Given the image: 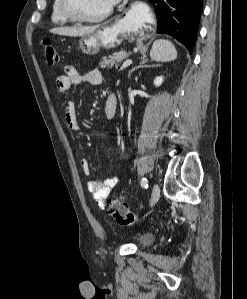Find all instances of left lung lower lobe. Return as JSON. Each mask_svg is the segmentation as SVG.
<instances>
[{
    "instance_id": "0a47b994",
    "label": "left lung lower lobe",
    "mask_w": 247,
    "mask_h": 299,
    "mask_svg": "<svg viewBox=\"0 0 247 299\" xmlns=\"http://www.w3.org/2000/svg\"><path fill=\"white\" fill-rule=\"evenodd\" d=\"M158 19L157 32L168 34L192 53L202 11V0H150Z\"/></svg>"
}]
</instances>
